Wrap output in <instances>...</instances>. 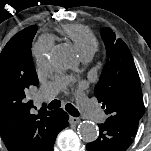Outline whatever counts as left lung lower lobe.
<instances>
[{"instance_id":"left-lung-lower-lobe-1","label":"left lung lower lobe","mask_w":151,"mask_h":151,"mask_svg":"<svg viewBox=\"0 0 151 151\" xmlns=\"http://www.w3.org/2000/svg\"><path fill=\"white\" fill-rule=\"evenodd\" d=\"M99 129L98 139L87 144V151H126L132 142V136L106 122Z\"/></svg>"}]
</instances>
